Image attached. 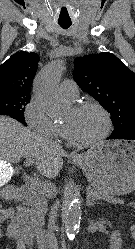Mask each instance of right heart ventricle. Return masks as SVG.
Instances as JSON below:
<instances>
[{
    "instance_id": "1",
    "label": "right heart ventricle",
    "mask_w": 135,
    "mask_h": 249,
    "mask_svg": "<svg viewBox=\"0 0 135 249\" xmlns=\"http://www.w3.org/2000/svg\"><path fill=\"white\" fill-rule=\"evenodd\" d=\"M60 136H65V132H64V129L62 127H60Z\"/></svg>"
}]
</instances>
